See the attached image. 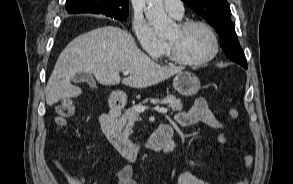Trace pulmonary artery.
<instances>
[{
	"mask_svg": "<svg viewBox=\"0 0 293 184\" xmlns=\"http://www.w3.org/2000/svg\"><path fill=\"white\" fill-rule=\"evenodd\" d=\"M164 8L176 19H181L184 15V6L181 0H165Z\"/></svg>",
	"mask_w": 293,
	"mask_h": 184,
	"instance_id": "obj_1",
	"label": "pulmonary artery"
}]
</instances>
